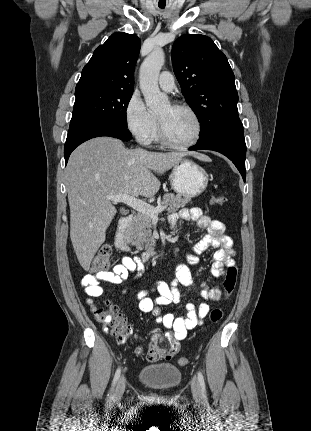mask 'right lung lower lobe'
Here are the masks:
<instances>
[{"label":"right lung lower lobe","mask_w":311,"mask_h":431,"mask_svg":"<svg viewBox=\"0 0 311 431\" xmlns=\"http://www.w3.org/2000/svg\"><path fill=\"white\" fill-rule=\"evenodd\" d=\"M110 136L123 141L132 137L127 125L106 120H86L70 126L64 146L65 165L71 152L81 143L95 137Z\"/></svg>","instance_id":"1"}]
</instances>
